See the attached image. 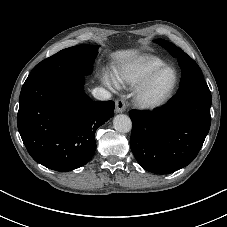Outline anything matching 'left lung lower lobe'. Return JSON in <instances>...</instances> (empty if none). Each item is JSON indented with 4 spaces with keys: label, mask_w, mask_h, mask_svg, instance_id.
Instances as JSON below:
<instances>
[{
    "label": "left lung lower lobe",
    "mask_w": 227,
    "mask_h": 227,
    "mask_svg": "<svg viewBox=\"0 0 227 227\" xmlns=\"http://www.w3.org/2000/svg\"><path fill=\"white\" fill-rule=\"evenodd\" d=\"M211 104L169 102L155 111L131 110V150L145 170L173 173L197 156L209 132Z\"/></svg>",
    "instance_id": "obj_1"
}]
</instances>
